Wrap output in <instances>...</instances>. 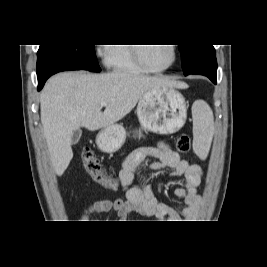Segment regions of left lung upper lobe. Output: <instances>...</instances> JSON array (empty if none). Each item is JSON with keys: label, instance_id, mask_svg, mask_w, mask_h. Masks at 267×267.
<instances>
[{"label": "left lung upper lobe", "instance_id": "obj_1", "mask_svg": "<svg viewBox=\"0 0 267 267\" xmlns=\"http://www.w3.org/2000/svg\"><path fill=\"white\" fill-rule=\"evenodd\" d=\"M179 50L182 57V69L185 75L202 61L216 57L213 45H179Z\"/></svg>", "mask_w": 267, "mask_h": 267}]
</instances>
